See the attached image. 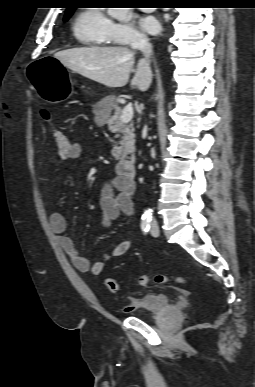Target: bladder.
Returning a JSON list of instances; mask_svg holds the SVG:
<instances>
[{
    "instance_id": "bladder-1",
    "label": "bladder",
    "mask_w": 255,
    "mask_h": 387,
    "mask_svg": "<svg viewBox=\"0 0 255 387\" xmlns=\"http://www.w3.org/2000/svg\"><path fill=\"white\" fill-rule=\"evenodd\" d=\"M172 306L169 296L166 293L151 292L139 299V304L133 310H126L127 313L138 317L153 316Z\"/></svg>"
}]
</instances>
